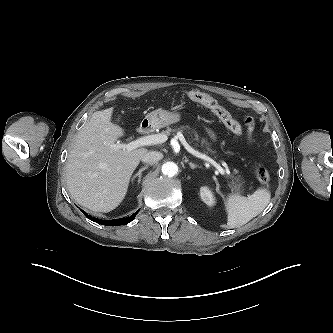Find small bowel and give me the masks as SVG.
Wrapping results in <instances>:
<instances>
[{
    "label": "small bowel",
    "instance_id": "obj_1",
    "mask_svg": "<svg viewBox=\"0 0 333 333\" xmlns=\"http://www.w3.org/2000/svg\"><path fill=\"white\" fill-rule=\"evenodd\" d=\"M244 122L246 123V125L251 128L253 126V120L250 117H244Z\"/></svg>",
    "mask_w": 333,
    "mask_h": 333
}]
</instances>
